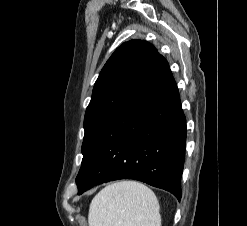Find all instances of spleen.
<instances>
[{"label": "spleen", "instance_id": "1", "mask_svg": "<svg viewBox=\"0 0 247 226\" xmlns=\"http://www.w3.org/2000/svg\"><path fill=\"white\" fill-rule=\"evenodd\" d=\"M160 206L151 189L121 181L102 189L89 207V226H161Z\"/></svg>", "mask_w": 247, "mask_h": 226}]
</instances>
